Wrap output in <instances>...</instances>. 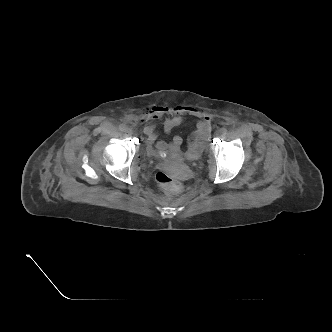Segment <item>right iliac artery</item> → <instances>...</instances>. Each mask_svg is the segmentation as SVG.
Listing matches in <instances>:
<instances>
[{"instance_id":"1","label":"right iliac artery","mask_w":332,"mask_h":332,"mask_svg":"<svg viewBox=\"0 0 332 332\" xmlns=\"http://www.w3.org/2000/svg\"><path fill=\"white\" fill-rule=\"evenodd\" d=\"M119 129H120L121 131H125V130L127 129V127H126L124 124H121V125L119 126Z\"/></svg>"}]
</instances>
